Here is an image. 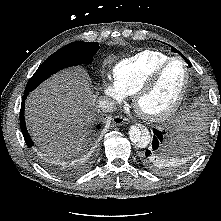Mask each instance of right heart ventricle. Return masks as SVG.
Returning a JSON list of instances; mask_svg holds the SVG:
<instances>
[{
  "label": "right heart ventricle",
  "mask_w": 221,
  "mask_h": 221,
  "mask_svg": "<svg viewBox=\"0 0 221 221\" xmlns=\"http://www.w3.org/2000/svg\"><path fill=\"white\" fill-rule=\"evenodd\" d=\"M169 58L160 51L144 50L119 61L112 69L113 78L126 94L132 95Z\"/></svg>",
  "instance_id": "right-heart-ventricle-1"
}]
</instances>
